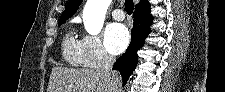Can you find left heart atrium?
Here are the masks:
<instances>
[{
	"instance_id": "obj_1",
	"label": "left heart atrium",
	"mask_w": 225,
	"mask_h": 92,
	"mask_svg": "<svg viewBox=\"0 0 225 92\" xmlns=\"http://www.w3.org/2000/svg\"><path fill=\"white\" fill-rule=\"evenodd\" d=\"M129 40V31L123 24L113 23L109 25L104 34L105 46L107 50L114 55L123 52Z\"/></svg>"
}]
</instances>
